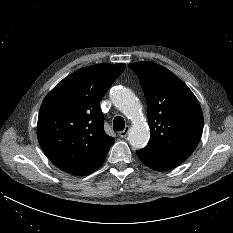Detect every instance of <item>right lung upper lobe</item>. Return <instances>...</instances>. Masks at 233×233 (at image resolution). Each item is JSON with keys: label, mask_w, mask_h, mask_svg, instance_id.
<instances>
[{"label": "right lung upper lobe", "mask_w": 233, "mask_h": 233, "mask_svg": "<svg viewBox=\"0 0 233 233\" xmlns=\"http://www.w3.org/2000/svg\"><path fill=\"white\" fill-rule=\"evenodd\" d=\"M124 69L123 63L80 68L45 97L37 137L60 169L81 176L105 159L114 138L104 132L99 102Z\"/></svg>", "instance_id": "cb5924a9"}]
</instances>
